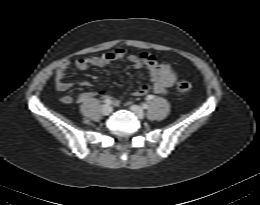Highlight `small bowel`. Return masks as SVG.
I'll list each match as a JSON object with an SVG mask.
<instances>
[{"label":"small bowel","instance_id":"1","mask_svg":"<svg viewBox=\"0 0 260 205\" xmlns=\"http://www.w3.org/2000/svg\"><path fill=\"white\" fill-rule=\"evenodd\" d=\"M117 61H126L136 69H148L151 76L150 82L140 85L134 91L136 96H144L149 91L164 94L175 83L176 75L173 68L168 63L159 62L155 55L148 52L134 54L127 52L124 48H117L112 52L104 53L99 56L79 58L73 62V65L77 70L85 71L91 67L109 66ZM71 64V61H63L55 72L54 85L59 91H67L73 85L72 82L65 79L66 70ZM101 94L109 99L113 105L118 106L120 104L119 99L107 91H102ZM91 95L92 93H83L79 96V100L84 101ZM60 100L64 104H70L73 98L65 94L60 97Z\"/></svg>","mask_w":260,"mask_h":205}]
</instances>
